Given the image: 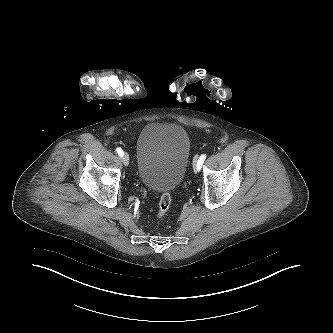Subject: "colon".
Wrapping results in <instances>:
<instances>
[{
	"instance_id": "1",
	"label": "colon",
	"mask_w": 333,
	"mask_h": 333,
	"mask_svg": "<svg viewBox=\"0 0 333 333\" xmlns=\"http://www.w3.org/2000/svg\"><path fill=\"white\" fill-rule=\"evenodd\" d=\"M172 198L168 192H164L161 194L158 203L157 217L162 219L166 216L170 206H171Z\"/></svg>"
}]
</instances>
